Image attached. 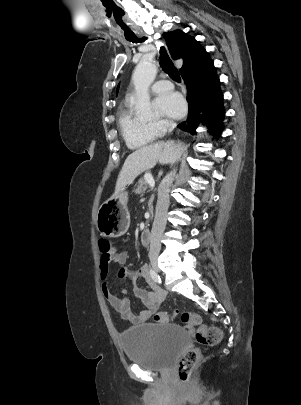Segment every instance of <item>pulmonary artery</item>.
Segmentation results:
<instances>
[{"label":"pulmonary artery","instance_id":"1","mask_svg":"<svg viewBox=\"0 0 301 405\" xmlns=\"http://www.w3.org/2000/svg\"><path fill=\"white\" fill-rule=\"evenodd\" d=\"M173 89V85L168 80H159L152 84L151 91L153 93H164ZM132 99V96L129 97Z\"/></svg>","mask_w":301,"mask_h":405}]
</instances>
